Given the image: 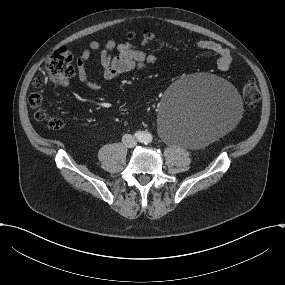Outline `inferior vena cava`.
I'll use <instances>...</instances> for the list:
<instances>
[{"label": "inferior vena cava", "instance_id": "obj_1", "mask_svg": "<svg viewBox=\"0 0 285 285\" xmlns=\"http://www.w3.org/2000/svg\"><path fill=\"white\" fill-rule=\"evenodd\" d=\"M125 144L128 146V147H134L136 145V141L132 138V137H128L125 139Z\"/></svg>", "mask_w": 285, "mask_h": 285}]
</instances>
